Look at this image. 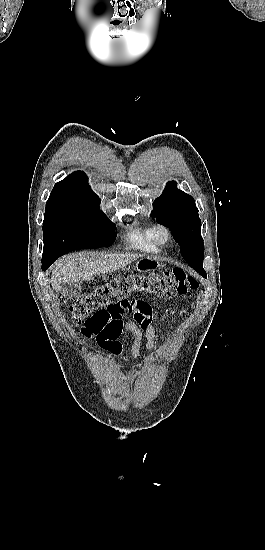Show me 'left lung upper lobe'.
<instances>
[{
	"label": "left lung upper lobe",
	"mask_w": 265,
	"mask_h": 550,
	"mask_svg": "<svg viewBox=\"0 0 265 550\" xmlns=\"http://www.w3.org/2000/svg\"><path fill=\"white\" fill-rule=\"evenodd\" d=\"M150 216L169 227L180 252L192 268H203L204 243L201 220L194 199L180 191L175 181H169L162 195L153 203Z\"/></svg>",
	"instance_id": "1"
}]
</instances>
